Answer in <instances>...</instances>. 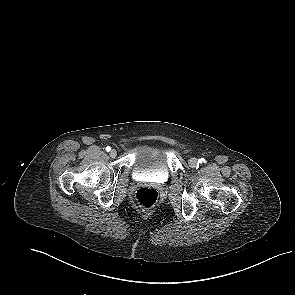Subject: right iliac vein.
<instances>
[{"mask_svg":"<svg viewBox=\"0 0 295 295\" xmlns=\"http://www.w3.org/2000/svg\"><path fill=\"white\" fill-rule=\"evenodd\" d=\"M117 156V151L115 150V149H112L111 151H110V157L111 158H115Z\"/></svg>","mask_w":295,"mask_h":295,"instance_id":"obj_1","label":"right iliac vein"}]
</instances>
